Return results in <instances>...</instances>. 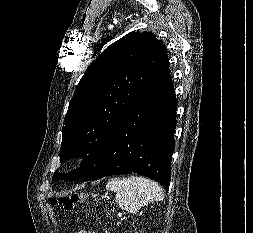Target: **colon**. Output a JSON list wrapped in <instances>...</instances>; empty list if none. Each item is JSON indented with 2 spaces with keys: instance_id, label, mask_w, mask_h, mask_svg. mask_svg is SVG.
Instances as JSON below:
<instances>
[{
  "instance_id": "colon-1",
  "label": "colon",
  "mask_w": 253,
  "mask_h": 233,
  "mask_svg": "<svg viewBox=\"0 0 253 233\" xmlns=\"http://www.w3.org/2000/svg\"><path fill=\"white\" fill-rule=\"evenodd\" d=\"M88 195L81 193H73L69 195L53 196L50 198V203L53 206L59 207L63 210H71L82 200L86 199Z\"/></svg>"
}]
</instances>
